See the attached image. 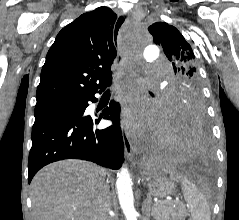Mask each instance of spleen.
<instances>
[{
  "label": "spleen",
  "mask_w": 239,
  "mask_h": 220,
  "mask_svg": "<svg viewBox=\"0 0 239 220\" xmlns=\"http://www.w3.org/2000/svg\"><path fill=\"white\" fill-rule=\"evenodd\" d=\"M170 178L181 182L184 199L191 211L190 220H210L211 211L204 194L188 179L174 175Z\"/></svg>",
  "instance_id": "obj_1"
}]
</instances>
